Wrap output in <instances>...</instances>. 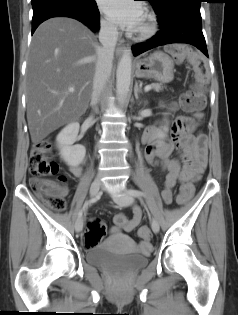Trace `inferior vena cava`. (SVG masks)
I'll return each instance as SVG.
<instances>
[{
  "instance_id": "1",
  "label": "inferior vena cava",
  "mask_w": 238,
  "mask_h": 315,
  "mask_svg": "<svg viewBox=\"0 0 238 315\" xmlns=\"http://www.w3.org/2000/svg\"><path fill=\"white\" fill-rule=\"evenodd\" d=\"M118 38L117 26L103 22L99 32V41L102 47L99 50L95 75L93 78V89L91 94V105L96 106L98 98L104 90L106 83L111 75L112 61L114 57L115 46Z\"/></svg>"
}]
</instances>
